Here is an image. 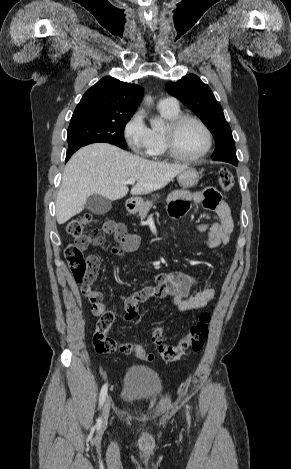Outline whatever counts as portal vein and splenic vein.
Returning a JSON list of instances; mask_svg holds the SVG:
<instances>
[{"instance_id": "18ae733b", "label": "portal vein and splenic vein", "mask_w": 291, "mask_h": 469, "mask_svg": "<svg viewBox=\"0 0 291 469\" xmlns=\"http://www.w3.org/2000/svg\"><path fill=\"white\" fill-rule=\"evenodd\" d=\"M125 183L133 185V184H135V179H128Z\"/></svg>"}]
</instances>
